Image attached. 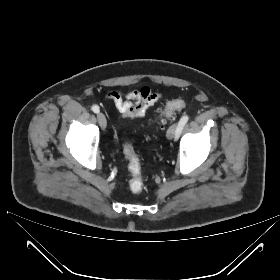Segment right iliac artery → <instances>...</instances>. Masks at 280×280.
Instances as JSON below:
<instances>
[{"mask_svg":"<svg viewBox=\"0 0 280 280\" xmlns=\"http://www.w3.org/2000/svg\"><path fill=\"white\" fill-rule=\"evenodd\" d=\"M92 111L94 112V113H99V107L97 106V105H93L92 106Z\"/></svg>","mask_w":280,"mask_h":280,"instance_id":"82829eb1","label":"right iliac artery"}]
</instances>
